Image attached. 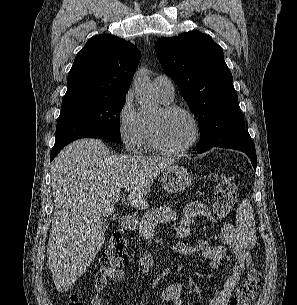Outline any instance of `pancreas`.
<instances>
[{
  "instance_id": "pancreas-1",
  "label": "pancreas",
  "mask_w": 297,
  "mask_h": 305,
  "mask_svg": "<svg viewBox=\"0 0 297 305\" xmlns=\"http://www.w3.org/2000/svg\"><path fill=\"white\" fill-rule=\"evenodd\" d=\"M176 212L167 205L148 210L141 218L139 234L141 237L150 239L158 223H167L176 220Z\"/></svg>"
}]
</instances>
